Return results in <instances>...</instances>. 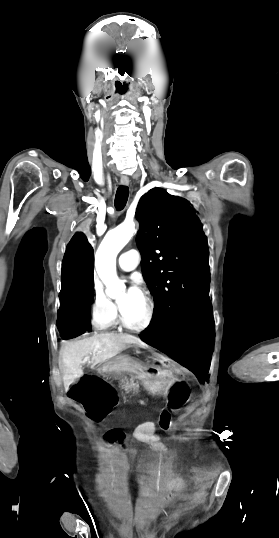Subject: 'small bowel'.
Masks as SVG:
<instances>
[{
  "instance_id": "1",
  "label": "small bowel",
  "mask_w": 279,
  "mask_h": 538,
  "mask_svg": "<svg viewBox=\"0 0 279 538\" xmlns=\"http://www.w3.org/2000/svg\"><path fill=\"white\" fill-rule=\"evenodd\" d=\"M167 407L160 415V426L167 431L173 430L172 413L183 407L190 398V392L180 381H173L169 385L166 394ZM138 436L145 442L150 443L154 447L164 449L160 436L156 433V426L153 422H147L140 426L137 431Z\"/></svg>"
}]
</instances>
